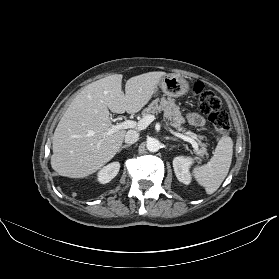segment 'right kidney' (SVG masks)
<instances>
[{"mask_svg":"<svg viewBox=\"0 0 279 279\" xmlns=\"http://www.w3.org/2000/svg\"><path fill=\"white\" fill-rule=\"evenodd\" d=\"M120 163L112 162L103 167L97 174V181L101 184L110 182L119 172Z\"/></svg>","mask_w":279,"mask_h":279,"instance_id":"right-kidney-1","label":"right kidney"}]
</instances>
